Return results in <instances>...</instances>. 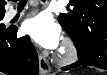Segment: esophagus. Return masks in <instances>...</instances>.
<instances>
[{"label":"esophagus","instance_id":"esophagus-1","mask_svg":"<svg viewBox=\"0 0 107 75\" xmlns=\"http://www.w3.org/2000/svg\"><path fill=\"white\" fill-rule=\"evenodd\" d=\"M39 70L41 75H46L50 72L48 60L42 54H39Z\"/></svg>","mask_w":107,"mask_h":75}]
</instances>
